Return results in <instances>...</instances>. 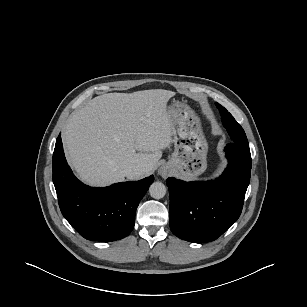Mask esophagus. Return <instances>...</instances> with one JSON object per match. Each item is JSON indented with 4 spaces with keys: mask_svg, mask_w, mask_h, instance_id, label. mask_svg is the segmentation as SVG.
I'll return each mask as SVG.
<instances>
[{
    "mask_svg": "<svg viewBox=\"0 0 307 307\" xmlns=\"http://www.w3.org/2000/svg\"><path fill=\"white\" fill-rule=\"evenodd\" d=\"M170 169L169 167L163 165L162 167H160V169L158 170V174L160 176H162L163 178L168 177L170 175Z\"/></svg>",
    "mask_w": 307,
    "mask_h": 307,
    "instance_id": "obj_1",
    "label": "esophagus"
}]
</instances>
